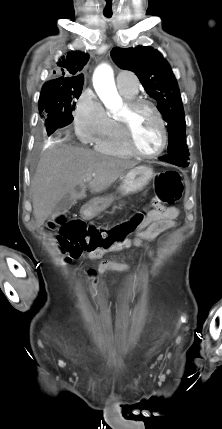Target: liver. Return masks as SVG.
Masks as SVG:
<instances>
[{"label": "liver", "mask_w": 222, "mask_h": 429, "mask_svg": "<svg viewBox=\"0 0 222 429\" xmlns=\"http://www.w3.org/2000/svg\"><path fill=\"white\" fill-rule=\"evenodd\" d=\"M136 165V162L104 156L86 148L67 144L50 146L42 154L31 181L36 225L44 224L65 195L74 200L85 198L83 184L87 179H90L91 192H101ZM77 186L81 189L77 190Z\"/></svg>", "instance_id": "liver-1"}]
</instances>
